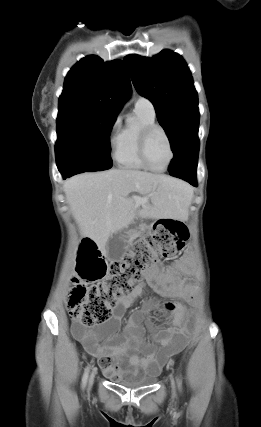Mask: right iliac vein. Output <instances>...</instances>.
Instances as JSON below:
<instances>
[{
    "label": "right iliac vein",
    "instance_id": "obj_1",
    "mask_svg": "<svg viewBox=\"0 0 261 427\" xmlns=\"http://www.w3.org/2000/svg\"><path fill=\"white\" fill-rule=\"evenodd\" d=\"M95 374H96V372H95V371H93V372L91 373L90 378H89V386H91V385H92L93 380H94V377H95Z\"/></svg>",
    "mask_w": 261,
    "mask_h": 427
}]
</instances>
